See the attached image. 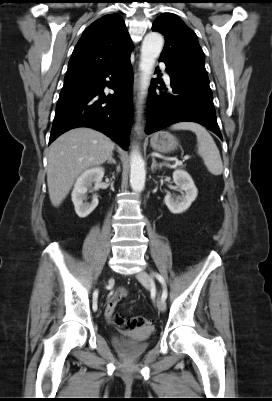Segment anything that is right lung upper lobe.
<instances>
[{
    "label": "right lung upper lobe",
    "instance_id": "cb5924a9",
    "mask_svg": "<svg viewBox=\"0 0 272 401\" xmlns=\"http://www.w3.org/2000/svg\"><path fill=\"white\" fill-rule=\"evenodd\" d=\"M131 51L132 42L122 17L103 16L85 29L74 48L63 88L100 75Z\"/></svg>",
    "mask_w": 272,
    "mask_h": 401
}]
</instances>
